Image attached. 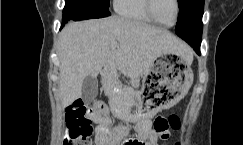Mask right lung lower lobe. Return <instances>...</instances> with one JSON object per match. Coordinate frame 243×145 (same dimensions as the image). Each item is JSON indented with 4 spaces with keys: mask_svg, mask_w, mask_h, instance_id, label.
<instances>
[{
    "mask_svg": "<svg viewBox=\"0 0 243 145\" xmlns=\"http://www.w3.org/2000/svg\"><path fill=\"white\" fill-rule=\"evenodd\" d=\"M110 15L108 10L97 7L92 3L80 2V0H75V2L67 0L65 8L63 9L61 28L70 20L79 21L107 17Z\"/></svg>",
    "mask_w": 243,
    "mask_h": 145,
    "instance_id": "1",
    "label": "right lung lower lobe"
}]
</instances>
